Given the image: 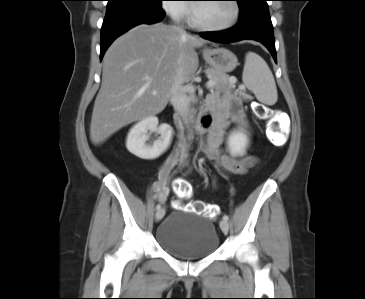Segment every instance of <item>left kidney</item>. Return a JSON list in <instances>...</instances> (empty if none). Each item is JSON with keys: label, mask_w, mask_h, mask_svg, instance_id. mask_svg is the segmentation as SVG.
Returning a JSON list of instances; mask_svg holds the SVG:
<instances>
[{"label": "left kidney", "mask_w": 365, "mask_h": 299, "mask_svg": "<svg viewBox=\"0 0 365 299\" xmlns=\"http://www.w3.org/2000/svg\"><path fill=\"white\" fill-rule=\"evenodd\" d=\"M249 143L248 136L242 130H234L227 139L228 149L231 155L241 156L245 153Z\"/></svg>", "instance_id": "left-kidney-1"}]
</instances>
